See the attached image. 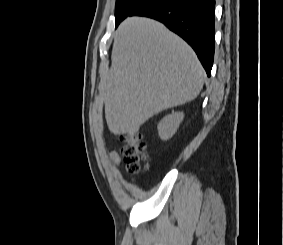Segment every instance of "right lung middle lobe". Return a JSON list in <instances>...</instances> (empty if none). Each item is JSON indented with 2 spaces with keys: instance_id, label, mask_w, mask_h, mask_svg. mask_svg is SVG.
I'll list each match as a JSON object with an SVG mask.
<instances>
[{
  "instance_id": "right-lung-middle-lobe-1",
  "label": "right lung middle lobe",
  "mask_w": 283,
  "mask_h": 245,
  "mask_svg": "<svg viewBox=\"0 0 283 245\" xmlns=\"http://www.w3.org/2000/svg\"><path fill=\"white\" fill-rule=\"evenodd\" d=\"M147 0H116L115 19L116 27L132 13L138 6Z\"/></svg>"
}]
</instances>
